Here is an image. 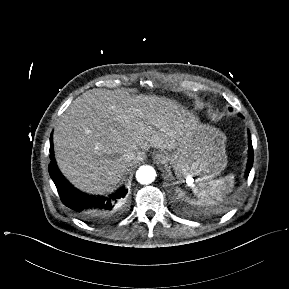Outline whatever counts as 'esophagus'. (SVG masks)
I'll return each instance as SVG.
<instances>
[{
	"label": "esophagus",
	"mask_w": 289,
	"mask_h": 289,
	"mask_svg": "<svg viewBox=\"0 0 289 289\" xmlns=\"http://www.w3.org/2000/svg\"><path fill=\"white\" fill-rule=\"evenodd\" d=\"M153 161L157 165L165 164L168 161V157L163 153H156L153 156Z\"/></svg>",
	"instance_id": "esophagus-1"
}]
</instances>
